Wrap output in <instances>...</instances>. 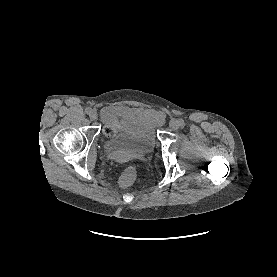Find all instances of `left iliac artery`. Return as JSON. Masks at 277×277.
<instances>
[{"label":"left iliac artery","mask_w":277,"mask_h":277,"mask_svg":"<svg viewBox=\"0 0 277 277\" xmlns=\"http://www.w3.org/2000/svg\"><path fill=\"white\" fill-rule=\"evenodd\" d=\"M179 121H180V126H181V127H184V126H185L184 120H183V119H180Z\"/></svg>","instance_id":"1"}]
</instances>
